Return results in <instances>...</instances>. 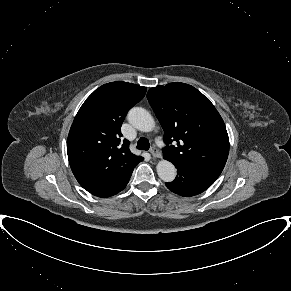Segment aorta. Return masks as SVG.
<instances>
[{
  "instance_id": "aorta-1",
  "label": "aorta",
  "mask_w": 291,
  "mask_h": 291,
  "mask_svg": "<svg viewBox=\"0 0 291 291\" xmlns=\"http://www.w3.org/2000/svg\"><path fill=\"white\" fill-rule=\"evenodd\" d=\"M128 121L136 129L142 132H150L155 127L154 118L151 114L141 107H134L128 113ZM158 176L164 182H172L176 177V168L168 160H161L157 166Z\"/></svg>"
}]
</instances>
